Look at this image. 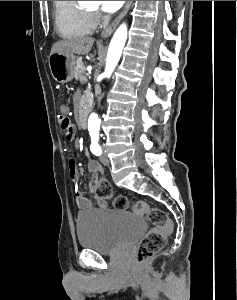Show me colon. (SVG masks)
Returning <instances> with one entry per match:
<instances>
[{"instance_id": "obj_1", "label": "colon", "mask_w": 237, "mask_h": 300, "mask_svg": "<svg viewBox=\"0 0 237 300\" xmlns=\"http://www.w3.org/2000/svg\"><path fill=\"white\" fill-rule=\"evenodd\" d=\"M59 125L67 140H73L75 129L66 115L62 114L59 117ZM95 193L100 199H112L114 208L118 210H127L129 208L127 197L122 195L113 197L112 187L105 179L98 182ZM132 210L139 216L147 217L152 223L151 229L139 242L136 250L137 262L144 263L153 258L165 246L167 237L172 229V223L164 211L150 207L143 200L136 201L132 206Z\"/></svg>"}]
</instances>
